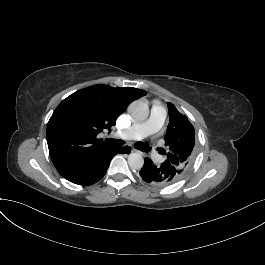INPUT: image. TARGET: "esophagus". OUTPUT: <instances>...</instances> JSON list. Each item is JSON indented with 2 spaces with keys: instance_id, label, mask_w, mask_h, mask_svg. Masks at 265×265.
<instances>
[{
  "instance_id": "obj_1",
  "label": "esophagus",
  "mask_w": 265,
  "mask_h": 265,
  "mask_svg": "<svg viewBox=\"0 0 265 265\" xmlns=\"http://www.w3.org/2000/svg\"><path fill=\"white\" fill-rule=\"evenodd\" d=\"M133 152H137V150H133Z\"/></svg>"
}]
</instances>
